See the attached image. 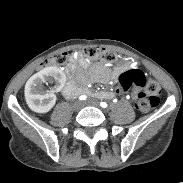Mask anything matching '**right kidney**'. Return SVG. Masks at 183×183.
<instances>
[{"label": "right kidney", "mask_w": 183, "mask_h": 183, "mask_svg": "<svg viewBox=\"0 0 183 183\" xmlns=\"http://www.w3.org/2000/svg\"><path fill=\"white\" fill-rule=\"evenodd\" d=\"M56 82V88L61 89L66 81L64 72L57 67H46L34 74L25 85V99L28 107L36 113L49 112L56 102L53 91H45L42 87L44 82Z\"/></svg>", "instance_id": "obj_1"}]
</instances>
